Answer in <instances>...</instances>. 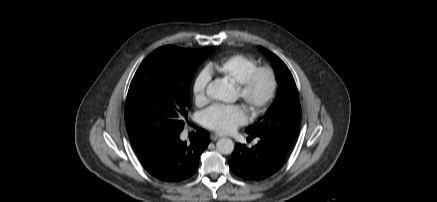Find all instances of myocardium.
Listing matches in <instances>:
<instances>
[{
    "instance_id": "f54148a6",
    "label": "myocardium",
    "mask_w": 437,
    "mask_h": 202,
    "mask_svg": "<svg viewBox=\"0 0 437 202\" xmlns=\"http://www.w3.org/2000/svg\"><path fill=\"white\" fill-rule=\"evenodd\" d=\"M265 75L269 86L267 92L262 97L253 95V87L256 80ZM278 80L275 71L269 66H257L250 71L246 77L238 83L240 98L247 104L253 115L261 114L273 100L277 90Z\"/></svg>"
}]
</instances>
